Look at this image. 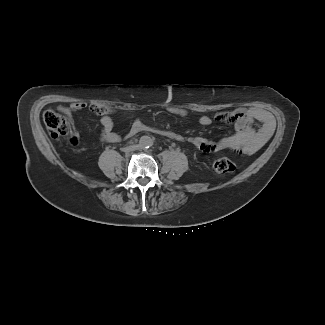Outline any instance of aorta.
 Here are the masks:
<instances>
[{
  "label": "aorta",
  "instance_id": "762f6f07",
  "mask_svg": "<svg viewBox=\"0 0 325 325\" xmlns=\"http://www.w3.org/2000/svg\"><path fill=\"white\" fill-rule=\"evenodd\" d=\"M139 145L142 149H147L153 145V140L149 136H142L139 140Z\"/></svg>",
  "mask_w": 325,
  "mask_h": 325
}]
</instances>
